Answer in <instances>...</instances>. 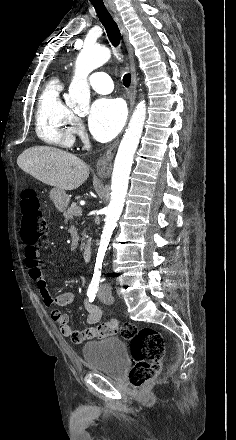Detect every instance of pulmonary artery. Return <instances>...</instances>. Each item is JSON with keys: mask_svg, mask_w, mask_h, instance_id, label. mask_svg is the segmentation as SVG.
Returning <instances> with one entry per match:
<instances>
[{"mask_svg": "<svg viewBox=\"0 0 236 440\" xmlns=\"http://www.w3.org/2000/svg\"><path fill=\"white\" fill-rule=\"evenodd\" d=\"M89 83L92 89L99 94H107L113 90L112 80L105 72H94L89 78Z\"/></svg>", "mask_w": 236, "mask_h": 440, "instance_id": "e3ab8cb5", "label": "pulmonary artery"}]
</instances>
